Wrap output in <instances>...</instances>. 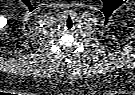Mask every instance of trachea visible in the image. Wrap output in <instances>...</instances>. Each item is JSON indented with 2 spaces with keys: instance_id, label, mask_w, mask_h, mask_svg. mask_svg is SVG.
Wrapping results in <instances>:
<instances>
[{
  "instance_id": "obj_1",
  "label": "trachea",
  "mask_w": 135,
  "mask_h": 95,
  "mask_svg": "<svg viewBox=\"0 0 135 95\" xmlns=\"http://www.w3.org/2000/svg\"><path fill=\"white\" fill-rule=\"evenodd\" d=\"M65 26L68 28V29H71L73 27V21L70 17L67 18L66 22H65Z\"/></svg>"
}]
</instances>
